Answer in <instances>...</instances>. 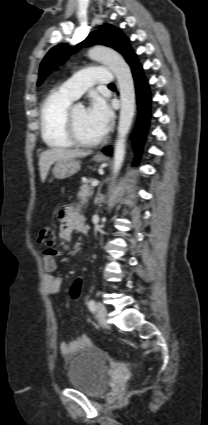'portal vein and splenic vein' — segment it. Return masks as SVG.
I'll return each instance as SVG.
<instances>
[{
	"label": "portal vein and splenic vein",
	"instance_id": "portal-vein-and-splenic-vein-1",
	"mask_svg": "<svg viewBox=\"0 0 208 425\" xmlns=\"http://www.w3.org/2000/svg\"><path fill=\"white\" fill-rule=\"evenodd\" d=\"M98 184H99V181L98 180H94V181H92L91 186L92 187H96Z\"/></svg>",
	"mask_w": 208,
	"mask_h": 425
}]
</instances>
